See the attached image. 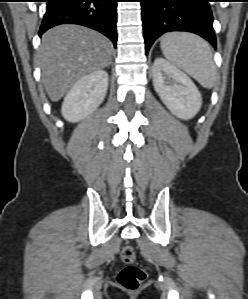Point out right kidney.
<instances>
[{"mask_svg":"<svg viewBox=\"0 0 248 299\" xmlns=\"http://www.w3.org/2000/svg\"><path fill=\"white\" fill-rule=\"evenodd\" d=\"M108 79L104 70L79 79L64 98L62 116L69 122H78L95 111L106 96Z\"/></svg>","mask_w":248,"mask_h":299,"instance_id":"right-kidney-1","label":"right kidney"}]
</instances>
